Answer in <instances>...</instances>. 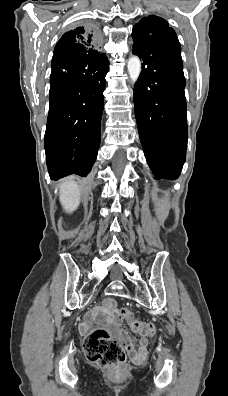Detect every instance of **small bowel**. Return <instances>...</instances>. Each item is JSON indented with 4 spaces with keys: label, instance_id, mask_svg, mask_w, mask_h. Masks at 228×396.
<instances>
[{
    "label": "small bowel",
    "instance_id": "1",
    "mask_svg": "<svg viewBox=\"0 0 228 396\" xmlns=\"http://www.w3.org/2000/svg\"><path fill=\"white\" fill-rule=\"evenodd\" d=\"M104 320L108 329H110L117 336V338L124 344L130 359L134 363L143 362L147 352V345H148L147 340L146 338H142L139 343V348L136 349L134 347L130 336L121 327V317L119 316V314L115 309V304L113 300H108L105 304ZM86 326H88V324Z\"/></svg>",
    "mask_w": 228,
    "mask_h": 396
}]
</instances>
